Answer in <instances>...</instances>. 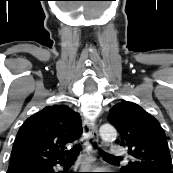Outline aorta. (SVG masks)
I'll return each instance as SVG.
<instances>
[{"instance_id": "aorta-1", "label": "aorta", "mask_w": 173, "mask_h": 173, "mask_svg": "<svg viewBox=\"0 0 173 173\" xmlns=\"http://www.w3.org/2000/svg\"><path fill=\"white\" fill-rule=\"evenodd\" d=\"M100 136L105 142H112L117 137L116 129L110 124H104L100 127Z\"/></svg>"}]
</instances>
